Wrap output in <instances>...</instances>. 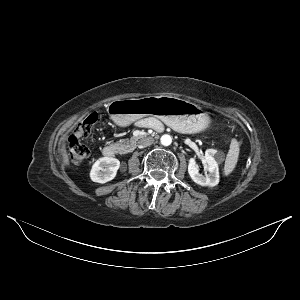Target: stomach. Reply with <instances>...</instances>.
I'll use <instances>...</instances> for the list:
<instances>
[{
	"label": "stomach",
	"instance_id": "stomach-1",
	"mask_svg": "<svg viewBox=\"0 0 300 300\" xmlns=\"http://www.w3.org/2000/svg\"><path fill=\"white\" fill-rule=\"evenodd\" d=\"M107 111L120 126L147 116H154L183 133L201 132L211 124L208 114L196 104L167 95L115 100L108 105Z\"/></svg>",
	"mask_w": 300,
	"mask_h": 300
}]
</instances>
